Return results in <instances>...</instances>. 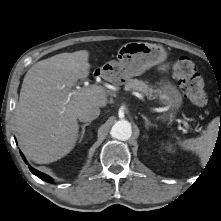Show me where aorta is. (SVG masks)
<instances>
[{
	"instance_id": "762f6f07",
	"label": "aorta",
	"mask_w": 221,
	"mask_h": 221,
	"mask_svg": "<svg viewBox=\"0 0 221 221\" xmlns=\"http://www.w3.org/2000/svg\"><path fill=\"white\" fill-rule=\"evenodd\" d=\"M110 134L113 138H116L118 140H128L132 135V127L130 122L124 119L117 121L112 126Z\"/></svg>"
}]
</instances>
